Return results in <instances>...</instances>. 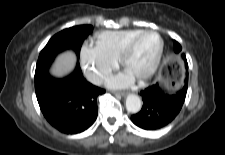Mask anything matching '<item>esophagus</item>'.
Listing matches in <instances>:
<instances>
[{
  "label": "esophagus",
  "instance_id": "34e87169",
  "mask_svg": "<svg viewBox=\"0 0 225 155\" xmlns=\"http://www.w3.org/2000/svg\"><path fill=\"white\" fill-rule=\"evenodd\" d=\"M116 95H120V96H126L127 93L126 92H115Z\"/></svg>",
  "mask_w": 225,
  "mask_h": 155
}]
</instances>
